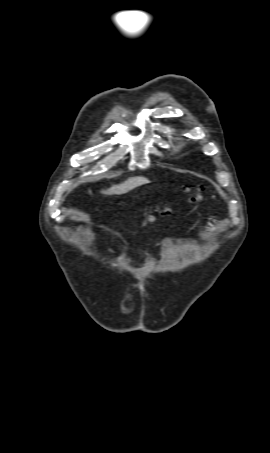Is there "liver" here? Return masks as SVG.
Segmentation results:
<instances>
[{
    "mask_svg": "<svg viewBox=\"0 0 270 453\" xmlns=\"http://www.w3.org/2000/svg\"><path fill=\"white\" fill-rule=\"evenodd\" d=\"M147 183H150V181L145 177H131L121 184L113 185L107 190H102L101 193L104 195H121Z\"/></svg>",
    "mask_w": 270,
    "mask_h": 453,
    "instance_id": "liver-1",
    "label": "liver"
}]
</instances>
